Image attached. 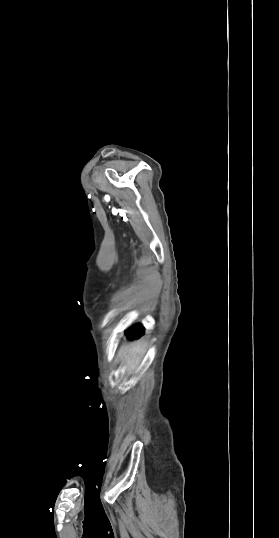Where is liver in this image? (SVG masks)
<instances>
[{"label": "liver", "mask_w": 279, "mask_h": 538, "mask_svg": "<svg viewBox=\"0 0 279 538\" xmlns=\"http://www.w3.org/2000/svg\"><path fill=\"white\" fill-rule=\"evenodd\" d=\"M126 354H129V356H131L129 360L128 370L130 374H133V372L137 370L140 358H142L143 354H145V346H136V348H133V350L123 348V350H121V352H119L118 354L119 362H122L123 358H126Z\"/></svg>", "instance_id": "6515ba94"}]
</instances>
